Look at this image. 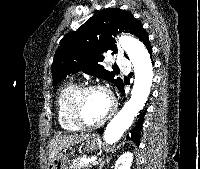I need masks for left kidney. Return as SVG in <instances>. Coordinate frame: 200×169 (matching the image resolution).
I'll return each mask as SVG.
<instances>
[{
    "instance_id": "1",
    "label": "left kidney",
    "mask_w": 200,
    "mask_h": 169,
    "mask_svg": "<svg viewBox=\"0 0 200 169\" xmlns=\"http://www.w3.org/2000/svg\"><path fill=\"white\" fill-rule=\"evenodd\" d=\"M133 162V154L131 152L123 153L115 162V169H130Z\"/></svg>"
}]
</instances>
